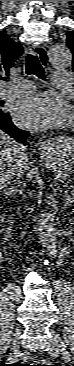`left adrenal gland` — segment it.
I'll use <instances>...</instances> for the list:
<instances>
[{
    "label": "left adrenal gland",
    "mask_w": 74,
    "mask_h": 366,
    "mask_svg": "<svg viewBox=\"0 0 74 366\" xmlns=\"http://www.w3.org/2000/svg\"><path fill=\"white\" fill-rule=\"evenodd\" d=\"M64 192H65V198H66V199H65V202H66V203H65V206H67V204H68V203H69V201H70V196L68 195V193H67V191H66V190H65Z\"/></svg>",
    "instance_id": "left-adrenal-gland-1"
}]
</instances>
